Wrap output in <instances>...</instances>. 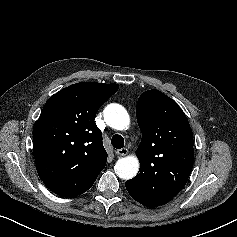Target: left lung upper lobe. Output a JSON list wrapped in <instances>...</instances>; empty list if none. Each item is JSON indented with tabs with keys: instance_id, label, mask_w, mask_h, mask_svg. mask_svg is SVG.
<instances>
[{
	"instance_id": "obj_1",
	"label": "left lung upper lobe",
	"mask_w": 237,
	"mask_h": 237,
	"mask_svg": "<svg viewBox=\"0 0 237 237\" xmlns=\"http://www.w3.org/2000/svg\"><path fill=\"white\" fill-rule=\"evenodd\" d=\"M136 116L142 132L136 151L140 169L126 189L134 200L154 208L185 186L193 167V133L179 105L155 89L141 94Z\"/></svg>"
}]
</instances>
